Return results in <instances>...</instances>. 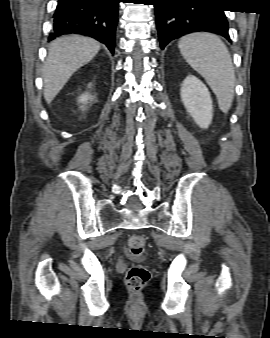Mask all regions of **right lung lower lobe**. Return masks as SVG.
<instances>
[{"instance_id":"1","label":"right lung lower lobe","mask_w":270,"mask_h":338,"mask_svg":"<svg viewBox=\"0 0 270 338\" xmlns=\"http://www.w3.org/2000/svg\"><path fill=\"white\" fill-rule=\"evenodd\" d=\"M120 0H58L49 41L63 34H82L104 43L113 53Z\"/></svg>"}]
</instances>
